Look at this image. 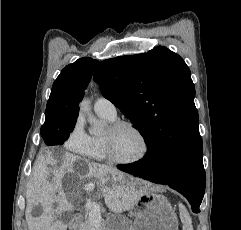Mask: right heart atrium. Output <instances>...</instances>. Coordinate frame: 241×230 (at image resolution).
Wrapping results in <instances>:
<instances>
[{"mask_svg":"<svg viewBox=\"0 0 241 230\" xmlns=\"http://www.w3.org/2000/svg\"><path fill=\"white\" fill-rule=\"evenodd\" d=\"M91 146V136H89L80 122H77L69 133L65 147L76 154L85 155Z\"/></svg>","mask_w":241,"mask_h":230,"instance_id":"1","label":"right heart atrium"}]
</instances>
